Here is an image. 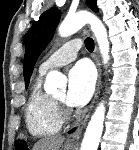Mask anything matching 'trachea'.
<instances>
[{"label": "trachea", "mask_w": 139, "mask_h": 150, "mask_svg": "<svg viewBox=\"0 0 139 150\" xmlns=\"http://www.w3.org/2000/svg\"><path fill=\"white\" fill-rule=\"evenodd\" d=\"M85 46H86L88 51H93L94 50V41L92 40V38H89V37L86 38Z\"/></svg>", "instance_id": "1"}]
</instances>
